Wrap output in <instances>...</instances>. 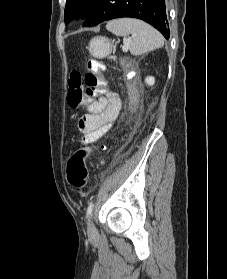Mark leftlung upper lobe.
<instances>
[{"label": "left lung upper lobe", "instance_id": "obj_1", "mask_svg": "<svg viewBox=\"0 0 227 279\" xmlns=\"http://www.w3.org/2000/svg\"><path fill=\"white\" fill-rule=\"evenodd\" d=\"M96 0H66L64 20L67 25L76 16L85 19L93 8Z\"/></svg>", "mask_w": 227, "mask_h": 279}]
</instances>
